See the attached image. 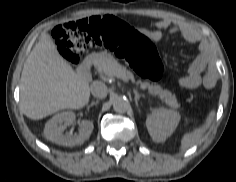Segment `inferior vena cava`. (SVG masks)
Masks as SVG:
<instances>
[{
	"instance_id": "obj_1",
	"label": "inferior vena cava",
	"mask_w": 236,
	"mask_h": 182,
	"mask_svg": "<svg viewBox=\"0 0 236 182\" xmlns=\"http://www.w3.org/2000/svg\"><path fill=\"white\" fill-rule=\"evenodd\" d=\"M91 93L95 98L103 99L107 96L108 88L105 83L101 81H94L91 84Z\"/></svg>"
}]
</instances>
